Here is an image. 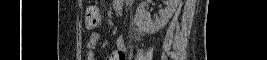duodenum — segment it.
<instances>
[{"label":"duodenum","instance_id":"410a0bca","mask_svg":"<svg viewBox=\"0 0 267 60\" xmlns=\"http://www.w3.org/2000/svg\"><path fill=\"white\" fill-rule=\"evenodd\" d=\"M116 11L120 13V12L122 11V9L118 7V8L116 9Z\"/></svg>","mask_w":267,"mask_h":60}]
</instances>
